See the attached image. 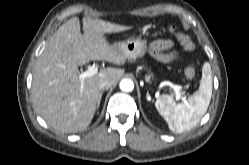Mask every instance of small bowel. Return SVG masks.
<instances>
[{"label":"small bowel","instance_id":"1","mask_svg":"<svg viewBox=\"0 0 249 165\" xmlns=\"http://www.w3.org/2000/svg\"><path fill=\"white\" fill-rule=\"evenodd\" d=\"M172 47V42L168 40H159L150 45V51L156 59L161 62H168L174 58V53L166 51Z\"/></svg>","mask_w":249,"mask_h":165}]
</instances>
